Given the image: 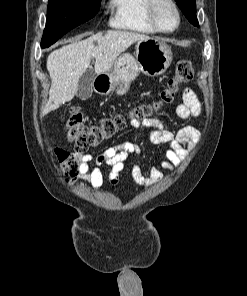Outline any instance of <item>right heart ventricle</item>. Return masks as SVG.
<instances>
[{
  "mask_svg": "<svg viewBox=\"0 0 247 296\" xmlns=\"http://www.w3.org/2000/svg\"><path fill=\"white\" fill-rule=\"evenodd\" d=\"M149 0H110V23L114 28L141 34L157 32L147 16Z\"/></svg>",
  "mask_w": 247,
  "mask_h": 296,
  "instance_id": "1",
  "label": "right heart ventricle"
}]
</instances>
